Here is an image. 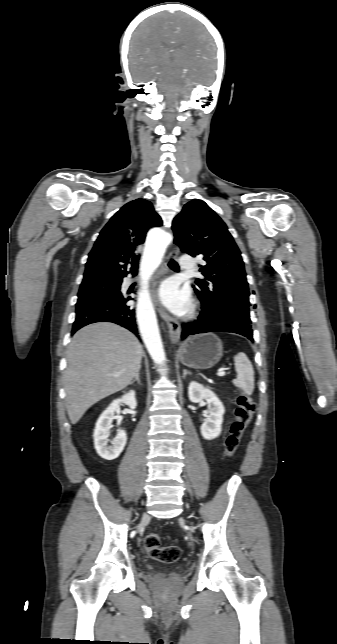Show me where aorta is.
<instances>
[{
    "label": "aorta",
    "mask_w": 337,
    "mask_h": 644,
    "mask_svg": "<svg viewBox=\"0 0 337 644\" xmlns=\"http://www.w3.org/2000/svg\"><path fill=\"white\" fill-rule=\"evenodd\" d=\"M170 239V235L162 232L159 247L157 249L147 248L140 264L141 288L138 296L136 314L142 339L151 358L156 364H163L166 357L155 311L148 292V280L160 264L164 246Z\"/></svg>",
    "instance_id": "aorta-1"
}]
</instances>
